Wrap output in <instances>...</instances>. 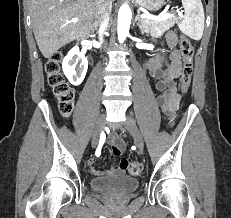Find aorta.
Segmentation results:
<instances>
[{
  "label": "aorta",
  "mask_w": 231,
  "mask_h": 218,
  "mask_svg": "<svg viewBox=\"0 0 231 218\" xmlns=\"http://www.w3.org/2000/svg\"><path fill=\"white\" fill-rule=\"evenodd\" d=\"M131 10L128 5L124 4L120 7L118 12V40L123 43L129 34V28L131 24Z\"/></svg>",
  "instance_id": "obj_1"
}]
</instances>
